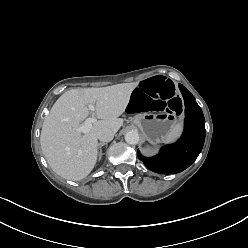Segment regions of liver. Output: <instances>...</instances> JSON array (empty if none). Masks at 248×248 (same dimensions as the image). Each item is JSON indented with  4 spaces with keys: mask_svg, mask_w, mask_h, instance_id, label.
<instances>
[{
    "mask_svg": "<svg viewBox=\"0 0 248 248\" xmlns=\"http://www.w3.org/2000/svg\"><path fill=\"white\" fill-rule=\"evenodd\" d=\"M138 82L100 88L71 89L52 106L42 126L40 144L52 170L64 179L78 181L87 177L97 162V133L102 128L117 132L123 125L119 118L125 111ZM95 105L96 121L91 130L76 131L89 115L88 105Z\"/></svg>",
    "mask_w": 248,
    "mask_h": 248,
    "instance_id": "obj_1",
    "label": "liver"
}]
</instances>
